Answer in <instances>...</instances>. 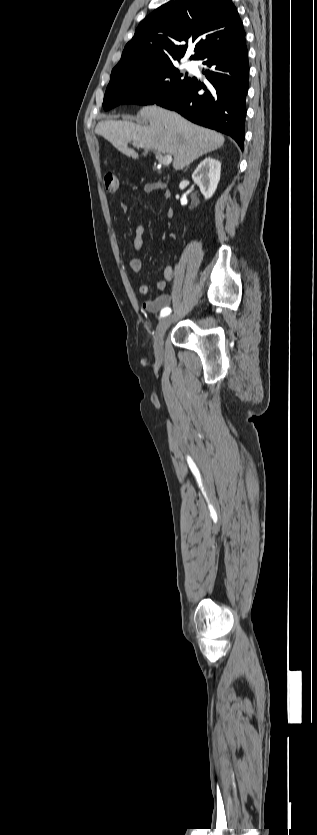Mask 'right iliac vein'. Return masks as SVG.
Here are the masks:
<instances>
[{"label": "right iliac vein", "instance_id": "right-iliac-vein-1", "mask_svg": "<svg viewBox=\"0 0 317 835\" xmlns=\"http://www.w3.org/2000/svg\"><path fill=\"white\" fill-rule=\"evenodd\" d=\"M172 321L173 316H167L163 318L158 324L155 337V350L157 354H161L163 351L164 335L167 329L170 327Z\"/></svg>", "mask_w": 317, "mask_h": 835}]
</instances>
